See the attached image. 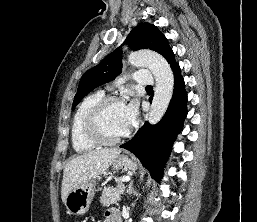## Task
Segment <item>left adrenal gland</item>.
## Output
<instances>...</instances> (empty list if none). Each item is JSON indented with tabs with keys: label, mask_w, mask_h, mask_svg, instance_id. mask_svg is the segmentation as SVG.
<instances>
[{
	"label": "left adrenal gland",
	"mask_w": 257,
	"mask_h": 222,
	"mask_svg": "<svg viewBox=\"0 0 257 222\" xmlns=\"http://www.w3.org/2000/svg\"><path fill=\"white\" fill-rule=\"evenodd\" d=\"M128 192H129L130 195L133 193L132 183L129 185Z\"/></svg>",
	"instance_id": "1"
}]
</instances>
